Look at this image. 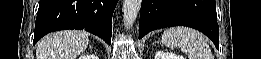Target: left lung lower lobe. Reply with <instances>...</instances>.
I'll use <instances>...</instances> for the list:
<instances>
[{"instance_id":"0a47b994","label":"left lung lower lobe","mask_w":261,"mask_h":59,"mask_svg":"<svg viewBox=\"0 0 261 59\" xmlns=\"http://www.w3.org/2000/svg\"><path fill=\"white\" fill-rule=\"evenodd\" d=\"M173 26L197 29L219 49L215 0H142L139 39L152 30Z\"/></svg>"}]
</instances>
